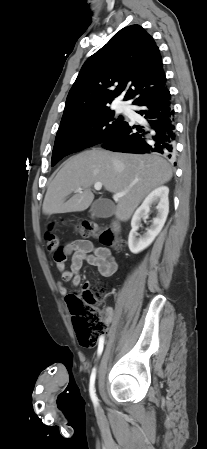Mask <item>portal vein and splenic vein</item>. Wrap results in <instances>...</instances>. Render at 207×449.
Masks as SVG:
<instances>
[{"mask_svg": "<svg viewBox=\"0 0 207 449\" xmlns=\"http://www.w3.org/2000/svg\"><path fill=\"white\" fill-rule=\"evenodd\" d=\"M94 188H95V190H98V191L101 190V189H102V183H101V182H96V183H94ZM76 192L81 193V192H82V189H81V188H78V189L76 190ZM125 194H126L125 192L114 194V195H113V199H114L115 201H118V199H119L120 197H123Z\"/></svg>", "mask_w": 207, "mask_h": 449, "instance_id": "1", "label": "portal vein and splenic vein"}]
</instances>
